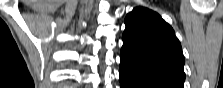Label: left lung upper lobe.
Listing matches in <instances>:
<instances>
[{
  "label": "left lung upper lobe",
  "instance_id": "obj_1",
  "mask_svg": "<svg viewBox=\"0 0 223 88\" xmlns=\"http://www.w3.org/2000/svg\"><path fill=\"white\" fill-rule=\"evenodd\" d=\"M120 65L184 88L185 59L172 27L156 12L136 7L125 18Z\"/></svg>",
  "mask_w": 223,
  "mask_h": 88
}]
</instances>
